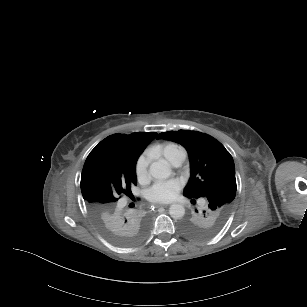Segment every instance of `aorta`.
<instances>
[{
	"label": "aorta",
	"instance_id": "obj_1",
	"mask_svg": "<svg viewBox=\"0 0 307 307\" xmlns=\"http://www.w3.org/2000/svg\"><path fill=\"white\" fill-rule=\"evenodd\" d=\"M149 174L157 180H165L172 174L171 165L166 159H159L151 163ZM169 214L174 219H181L185 214V208L181 204L174 203L169 208Z\"/></svg>",
	"mask_w": 307,
	"mask_h": 307
}]
</instances>
